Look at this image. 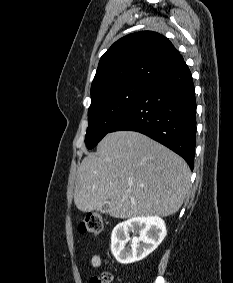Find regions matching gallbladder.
Listing matches in <instances>:
<instances>
[{
	"label": "gallbladder",
	"instance_id": "bac80fb5",
	"mask_svg": "<svg viewBox=\"0 0 233 283\" xmlns=\"http://www.w3.org/2000/svg\"><path fill=\"white\" fill-rule=\"evenodd\" d=\"M106 209H107V206H104V207H103V210L105 211Z\"/></svg>",
	"mask_w": 233,
	"mask_h": 283
}]
</instances>
